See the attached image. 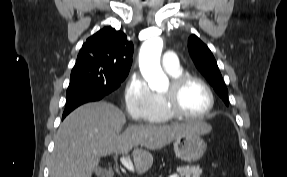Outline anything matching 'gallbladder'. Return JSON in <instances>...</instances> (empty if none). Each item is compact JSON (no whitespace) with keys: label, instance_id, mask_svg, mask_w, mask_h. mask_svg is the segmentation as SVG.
<instances>
[{"label":"gallbladder","instance_id":"bac80fb5","mask_svg":"<svg viewBox=\"0 0 287 177\" xmlns=\"http://www.w3.org/2000/svg\"><path fill=\"white\" fill-rule=\"evenodd\" d=\"M95 173H96V175L100 176V175L105 173V170L102 168H97V169H95Z\"/></svg>","mask_w":287,"mask_h":177}]
</instances>
